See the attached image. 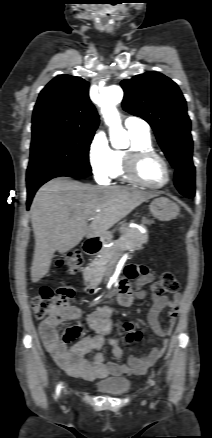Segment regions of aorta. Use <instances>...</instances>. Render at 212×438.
<instances>
[{
	"label": "aorta",
	"instance_id": "aorta-1",
	"mask_svg": "<svg viewBox=\"0 0 212 438\" xmlns=\"http://www.w3.org/2000/svg\"><path fill=\"white\" fill-rule=\"evenodd\" d=\"M123 91L117 85H110L100 91L98 104L106 125L109 126L111 143L116 148H124L128 143L125 129L122 127L116 105L121 102Z\"/></svg>",
	"mask_w": 212,
	"mask_h": 438
}]
</instances>
